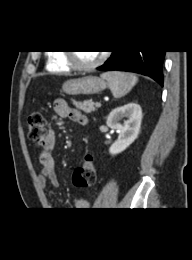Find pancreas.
<instances>
[{"label": "pancreas", "mask_w": 192, "mask_h": 260, "mask_svg": "<svg viewBox=\"0 0 192 260\" xmlns=\"http://www.w3.org/2000/svg\"><path fill=\"white\" fill-rule=\"evenodd\" d=\"M72 102H73V105L77 109H79L87 114L92 113V112L96 111V109H97L94 106L95 105L94 102L91 100L83 101V102L72 100Z\"/></svg>", "instance_id": "obj_1"}]
</instances>
